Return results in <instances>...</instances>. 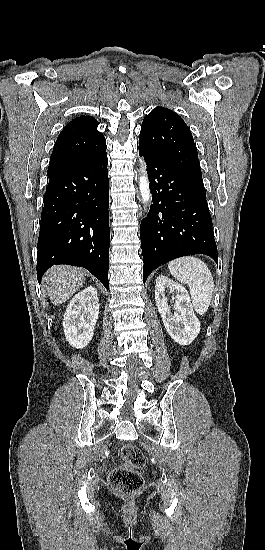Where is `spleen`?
Instances as JSON below:
<instances>
[{"mask_svg": "<svg viewBox=\"0 0 265 550\" xmlns=\"http://www.w3.org/2000/svg\"><path fill=\"white\" fill-rule=\"evenodd\" d=\"M170 273L190 289L195 311L203 315L207 312L214 292V281L207 265L196 257H182L169 262Z\"/></svg>", "mask_w": 265, "mask_h": 550, "instance_id": "obj_1", "label": "spleen"}]
</instances>
